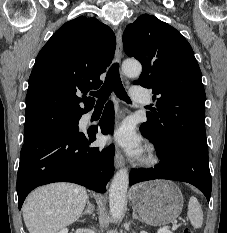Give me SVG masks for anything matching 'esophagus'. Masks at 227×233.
<instances>
[{
    "label": "esophagus",
    "instance_id": "obj_1",
    "mask_svg": "<svg viewBox=\"0 0 227 233\" xmlns=\"http://www.w3.org/2000/svg\"><path fill=\"white\" fill-rule=\"evenodd\" d=\"M122 29L119 28L116 33V60L120 61L123 55ZM125 159L121 151L117 148L115 152V167L120 168L124 166Z\"/></svg>",
    "mask_w": 227,
    "mask_h": 233
}]
</instances>
